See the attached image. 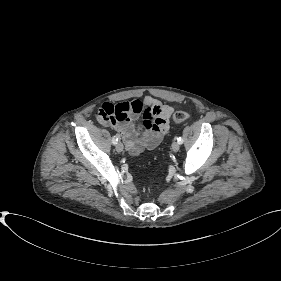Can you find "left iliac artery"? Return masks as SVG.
<instances>
[{
    "mask_svg": "<svg viewBox=\"0 0 281 281\" xmlns=\"http://www.w3.org/2000/svg\"><path fill=\"white\" fill-rule=\"evenodd\" d=\"M177 141L179 142V144H182V143H183L182 137H178V138H177Z\"/></svg>",
    "mask_w": 281,
    "mask_h": 281,
    "instance_id": "left-iliac-artery-1",
    "label": "left iliac artery"
}]
</instances>
